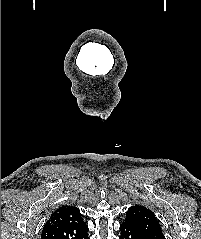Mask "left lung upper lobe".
Masks as SVG:
<instances>
[{
  "instance_id": "5c2ea615",
  "label": "left lung upper lobe",
  "mask_w": 201,
  "mask_h": 239,
  "mask_svg": "<svg viewBox=\"0 0 201 239\" xmlns=\"http://www.w3.org/2000/svg\"><path fill=\"white\" fill-rule=\"evenodd\" d=\"M124 222L135 226L151 239H165L154 213L143 206L130 207Z\"/></svg>"
}]
</instances>
